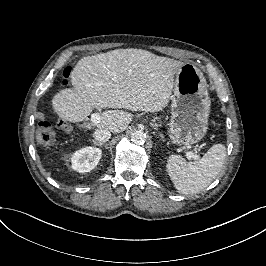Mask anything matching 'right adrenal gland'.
Returning a JSON list of instances; mask_svg holds the SVG:
<instances>
[{
    "instance_id": "2a0ac1e0",
    "label": "right adrenal gland",
    "mask_w": 266,
    "mask_h": 266,
    "mask_svg": "<svg viewBox=\"0 0 266 266\" xmlns=\"http://www.w3.org/2000/svg\"><path fill=\"white\" fill-rule=\"evenodd\" d=\"M92 142L94 143V145L96 146H104L105 148H108V145L107 144H104L102 142H97L95 141L94 139L92 140Z\"/></svg>"
}]
</instances>
